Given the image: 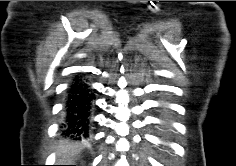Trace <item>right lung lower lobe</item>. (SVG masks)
Listing matches in <instances>:
<instances>
[{"label": "right lung lower lobe", "instance_id": "98d812e1", "mask_svg": "<svg viewBox=\"0 0 236 166\" xmlns=\"http://www.w3.org/2000/svg\"><path fill=\"white\" fill-rule=\"evenodd\" d=\"M94 99L90 86L77 75L67 90L63 134L74 139L89 138Z\"/></svg>", "mask_w": 236, "mask_h": 166}]
</instances>
